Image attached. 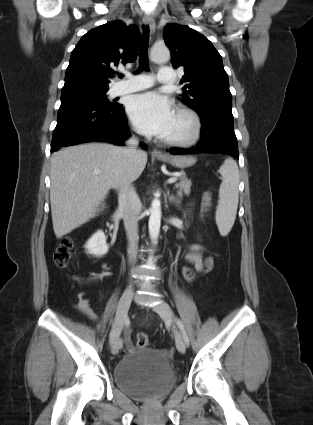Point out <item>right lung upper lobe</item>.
Returning a JSON list of instances; mask_svg holds the SVG:
<instances>
[{
    "instance_id": "right-lung-upper-lobe-1",
    "label": "right lung upper lobe",
    "mask_w": 313,
    "mask_h": 425,
    "mask_svg": "<svg viewBox=\"0 0 313 425\" xmlns=\"http://www.w3.org/2000/svg\"><path fill=\"white\" fill-rule=\"evenodd\" d=\"M139 38L138 27L122 21L91 29L72 51L62 93L109 88L112 66L136 59Z\"/></svg>"
}]
</instances>
